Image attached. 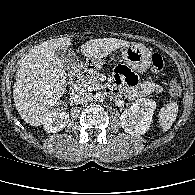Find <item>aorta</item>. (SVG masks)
I'll return each instance as SVG.
<instances>
[{
  "label": "aorta",
  "instance_id": "1",
  "mask_svg": "<svg viewBox=\"0 0 195 195\" xmlns=\"http://www.w3.org/2000/svg\"><path fill=\"white\" fill-rule=\"evenodd\" d=\"M94 100L96 102H102L104 100V94L102 92H97L95 95H94Z\"/></svg>",
  "mask_w": 195,
  "mask_h": 195
}]
</instances>
